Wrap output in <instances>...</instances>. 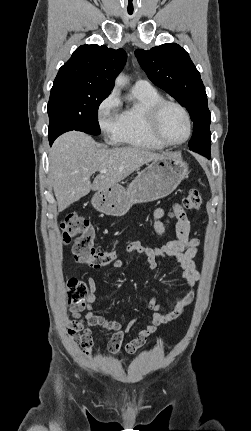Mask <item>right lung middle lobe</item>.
<instances>
[{
  "mask_svg": "<svg viewBox=\"0 0 251 431\" xmlns=\"http://www.w3.org/2000/svg\"><path fill=\"white\" fill-rule=\"evenodd\" d=\"M109 94L72 81L54 82L47 110L48 136L57 138L70 130L99 135L98 107Z\"/></svg>",
  "mask_w": 251,
  "mask_h": 431,
  "instance_id": "dd1d6c3e",
  "label": "right lung middle lobe"
}]
</instances>
